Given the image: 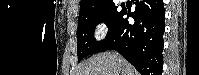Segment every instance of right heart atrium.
<instances>
[{
    "label": "right heart atrium",
    "mask_w": 199,
    "mask_h": 75,
    "mask_svg": "<svg viewBox=\"0 0 199 75\" xmlns=\"http://www.w3.org/2000/svg\"><path fill=\"white\" fill-rule=\"evenodd\" d=\"M107 32H108V27L106 23L103 21L97 22L93 28V37L96 40L103 39L106 36Z\"/></svg>",
    "instance_id": "1"
}]
</instances>
